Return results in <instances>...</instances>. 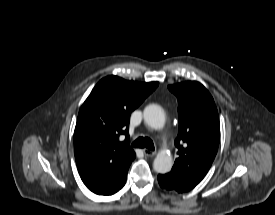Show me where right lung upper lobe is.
<instances>
[{"instance_id": "right-lung-upper-lobe-1", "label": "right lung upper lobe", "mask_w": 275, "mask_h": 215, "mask_svg": "<svg viewBox=\"0 0 275 215\" xmlns=\"http://www.w3.org/2000/svg\"><path fill=\"white\" fill-rule=\"evenodd\" d=\"M158 82L126 81L117 76L100 80L83 103L74 132V153L83 182L130 164L135 152L129 141L131 112L158 86Z\"/></svg>"}]
</instances>
